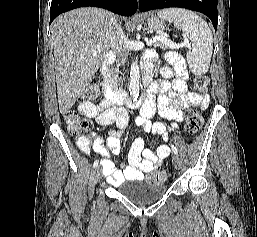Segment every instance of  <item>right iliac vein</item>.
<instances>
[{
    "instance_id": "obj_1",
    "label": "right iliac vein",
    "mask_w": 257,
    "mask_h": 237,
    "mask_svg": "<svg viewBox=\"0 0 257 237\" xmlns=\"http://www.w3.org/2000/svg\"><path fill=\"white\" fill-rule=\"evenodd\" d=\"M95 176L97 180H100L102 177V169L100 166H98L95 170Z\"/></svg>"
}]
</instances>
